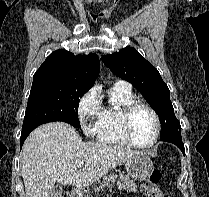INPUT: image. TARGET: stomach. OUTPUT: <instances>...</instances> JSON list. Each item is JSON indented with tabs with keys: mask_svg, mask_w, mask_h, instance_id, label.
Segmentation results:
<instances>
[{
	"mask_svg": "<svg viewBox=\"0 0 209 197\" xmlns=\"http://www.w3.org/2000/svg\"><path fill=\"white\" fill-rule=\"evenodd\" d=\"M126 170H127V174L131 178L135 180L144 181L151 176L152 172L154 171V166L149 156L141 152L139 154L132 156L130 159L127 160ZM82 197H91V196L86 194Z\"/></svg>",
	"mask_w": 209,
	"mask_h": 197,
	"instance_id": "obj_1",
	"label": "stomach"
}]
</instances>
